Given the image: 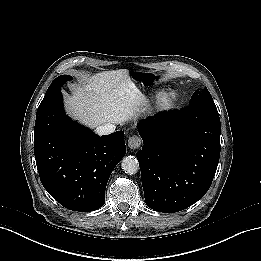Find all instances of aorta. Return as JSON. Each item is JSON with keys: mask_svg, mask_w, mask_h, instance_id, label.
Segmentation results:
<instances>
[{"mask_svg": "<svg viewBox=\"0 0 261 261\" xmlns=\"http://www.w3.org/2000/svg\"><path fill=\"white\" fill-rule=\"evenodd\" d=\"M121 168L126 174L133 175L139 171V162L135 157L127 156L122 159Z\"/></svg>", "mask_w": 261, "mask_h": 261, "instance_id": "aorta-1", "label": "aorta"}]
</instances>
